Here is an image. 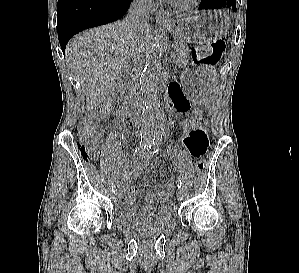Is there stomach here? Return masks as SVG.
Listing matches in <instances>:
<instances>
[{
  "instance_id": "1",
  "label": "stomach",
  "mask_w": 299,
  "mask_h": 273,
  "mask_svg": "<svg viewBox=\"0 0 299 273\" xmlns=\"http://www.w3.org/2000/svg\"><path fill=\"white\" fill-rule=\"evenodd\" d=\"M230 27L229 17L219 10H208L170 22L165 28L177 39L194 43L195 52H206L210 42L225 35ZM218 69H193L184 71V87L190 94L188 101L202 102L208 96L213 75Z\"/></svg>"
}]
</instances>
